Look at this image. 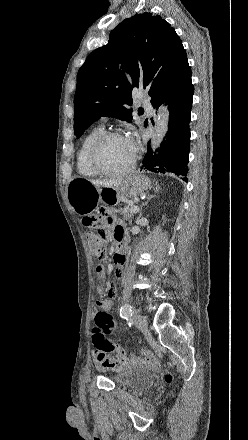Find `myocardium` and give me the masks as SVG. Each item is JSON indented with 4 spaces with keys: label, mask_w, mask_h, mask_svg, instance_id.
Wrapping results in <instances>:
<instances>
[{
    "label": "myocardium",
    "mask_w": 248,
    "mask_h": 440,
    "mask_svg": "<svg viewBox=\"0 0 248 440\" xmlns=\"http://www.w3.org/2000/svg\"><path fill=\"white\" fill-rule=\"evenodd\" d=\"M115 137H124V134H122L119 131H104L102 134H100L95 141L92 143L89 152H88V162L90 167L92 168V170L97 173L98 175L101 176H106V177H119V176H123L126 175L128 173H130L131 171H133V169L136 166V162H137V154L134 152L133 154V158L130 162V164L119 171H108L105 170L104 168H102L98 162V154L100 149L102 148V146L104 145V143L106 141H108L111 138H115Z\"/></svg>",
    "instance_id": "f54148a6"
}]
</instances>
